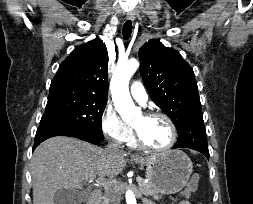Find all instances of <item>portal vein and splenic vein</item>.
<instances>
[{
    "instance_id": "obj_1",
    "label": "portal vein and splenic vein",
    "mask_w": 253,
    "mask_h": 204,
    "mask_svg": "<svg viewBox=\"0 0 253 204\" xmlns=\"http://www.w3.org/2000/svg\"><path fill=\"white\" fill-rule=\"evenodd\" d=\"M95 178H96V177H92V178L90 179V182H93V181L95 180ZM136 181H137L138 183H140V182L143 181V179H142L141 177H137ZM95 182H96V185H98V186H108V185L110 184L109 182L103 181V180H100V179L95 180Z\"/></svg>"
}]
</instances>
